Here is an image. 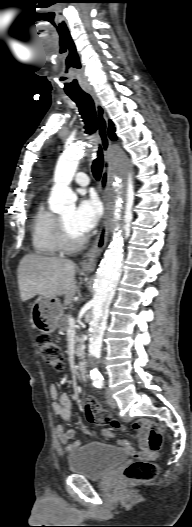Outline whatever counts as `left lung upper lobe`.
<instances>
[{
  "label": "left lung upper lobe",
  "instance_id": "left-lung-upper-lobe-1",
  "mask_svg": "<svg viewBox=\"0 0 192 527\" xmlns=\"http://www.w3.org/2000/svg\"><path fill=\"white\" fill-rule=\"evenodd\" d=\"M108 133H109V137L112 139V140H115L116 139V136H115V128L113 127V123L110 122V126H109V129H108Z\"/></svg>",
  "mask_w": 192,
  "mask_h": 527
}]
</instances>
